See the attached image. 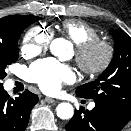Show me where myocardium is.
<instances>
[{
  "instance_id": "myocardium-1",
  "label": "myocardium",
  "mask_w": 131,
  "mask_h": 131,
  "mask_svg": "<svg viewBox=\"0 0 131 131\" xmlns=\"http://www.w3.org/2000/svg\"><path fill=\"white\" fill-rule=\"evenodd\" d=\"M97 49L102 51V58L99 63L92 64L90 55ZM114 53V46L110 41L101 37H94L76 45L75 59L82 72L97 76L109 68L114 59Z\"/></svg>"
}]
</instances>
